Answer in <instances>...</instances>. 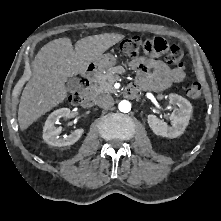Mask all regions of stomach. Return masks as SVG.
I'll return each mask as SVG.
<instances>
[{
	"mask_svg": "<svg viewBox=\"0 0 221 221\" xmlns=\"http://www.w3.org/2000/svg\"><path fill=\"white\" fill-rule=\"evenodd\" d=\"M116 58L112 54H103L95 60L94 65L100 70H107L116 64Z\"/></svg>",
	"mask_w": 221,
	"mask_h": 221,
	"instance_id": "1",
	"label": "stomach"
}]
</instances>
